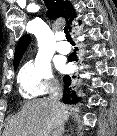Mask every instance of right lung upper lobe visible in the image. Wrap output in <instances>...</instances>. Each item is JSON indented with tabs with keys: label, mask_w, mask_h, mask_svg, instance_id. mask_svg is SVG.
I'll use <instances>...</instances> for the list:
<instances>
[{
	"label": "right lung upper lobe",
	"mask_w": 117,
	"mask_h": 136,
	"mask_svg": "<svg viewBox=\"0 0 117 136\" xmlns=\"http://www.w3.org/2000/svg\"><path fill=\"white\" fill-rule=\"evenodd\" d=\"M45 5L48 9L47 16L51 19H56L62 17L66 20L68 26L71 25L72 20L75 18L76 13L69 1L62 0H44ZM31 37L29 35H24L18 42L16 46V51L14 55V68L18 66L25 49L30 43Z\"/></svg>",
	"instance_id": "cb5924a9"
}]
</instances>
